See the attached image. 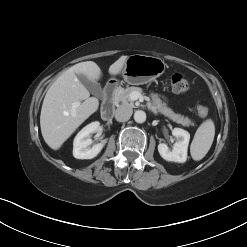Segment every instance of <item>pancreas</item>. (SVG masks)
Wrapping results in <instances>:
<instances>
[{"label":"pancreas","instance_id":"cf45deb5","mask_svg":"<svg viewBox=\"0 0 247 247\" xmlns=\"http://www.w3.org/2000/svg\"><path fill=\"white\" fill-rule=\"evenodd\" d=\"M132 92H138L141 94L143 90L140 87H119L115 94V102L134 107L133 100L130 98V94ZM150 97L154 108L164 116L168 117L170 120L183 126H195V123L188 117H185L181 114H176L171 109L167 108L161 99H159L156 95L151 94Z\"/></svg>","mask_w":247,"mask_h":247}]
</instances>
